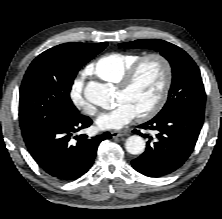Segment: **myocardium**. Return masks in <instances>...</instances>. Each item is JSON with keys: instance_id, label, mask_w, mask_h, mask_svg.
<instances>
[{"instance_id": "obj_1", "label": "myocardium", "mask_w": 222, "mask_h": 219, "mask_svg": "<svg viewBox=\"0 0 222 219\" xmlns=\"http://www.w3.org/2000/svg\"><path fill=\"white\" fill-rule=\"evenodd\" d=\"M157 60L162 68H163V85L161 92L156 100V102L146 111L139 113L137 116L140 119L147 120L153 118L157 115L163 106L166 103L168 98V94L172 85L173 79V69L171 62L167 57L160 53H150L147 55L142 56L139 60H137L122 76L120 81L118 82L119 89L125 91L131 87L133 84L138 72L140 71L141 67L149 60Z\"/></svg>"}]
</instances>
